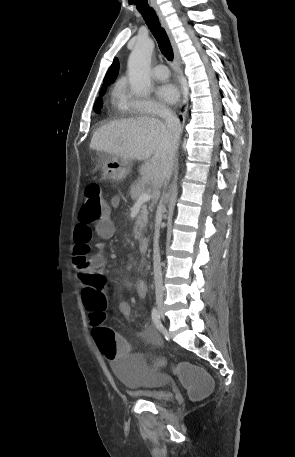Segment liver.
Wrapping results in <instances>:
<instances>
[{"instance_id":"1","label":"liver","mask_w":295,"mask_h":457,"mask_svg":"<svg viewBox=\"0 0 295 457\" xmlns=\"http://www.w3.org/2000/svg\"><path fill=\"white\" fill-rule=\"evenodd\" d=\"M90 149L129 161H143L142 180L158 189L173 165L177 141L159 119L138 117L103 125L94 133Z\"/></svg>"}]
</instances>
